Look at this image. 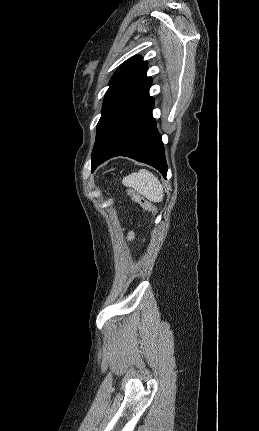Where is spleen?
<instances>
[{
	"instance_id": "3e777b00",
	"label": "spleen",
	"mask_w": 259,
	"mask_h": 431,
	"mask_svg": "<svg viewBox=\"0 0 259 431\" xmlns=\"http://www.w3.org/2000/svg\"><path fill=\"white\" fill-rule=\"evenodd\" d=\"M123 184L131 187L149 201L161 202L164 197L163 187L159 179L150 171L140 169L123 178Z\"/></svg>"
}]
</instances>
